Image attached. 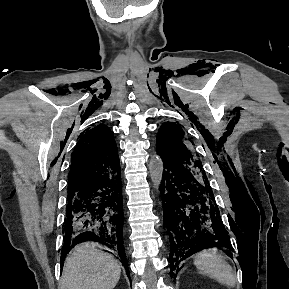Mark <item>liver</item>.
I'll list each match as a JSON object with an SVG mask.
<instances>
[{"mask_svg": "<svg viewBox=\"0 0 289 289\" xmlns=\"http://www.w3.org/2000/svg\"><path fill=\"white\" fill-rule=\"evenodd\" d=\"M120 273L121 266L112 255L85 242L75 246L66 258L60 289H113Z\"/></svg>", "mask_w": 289, "mask_h": 289, "instance_id": "obj_1", "label": "liver"}]
</instances>
